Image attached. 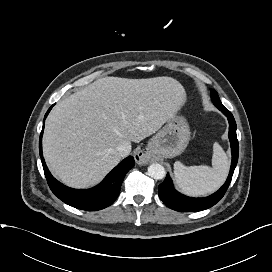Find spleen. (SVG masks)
Segmentation results:
<instances>
[{
    "label": "spleen",
    "instance_id": "obj_1",
    "mask_svg": "<svg viewBox=\"0 0 272 272\" xmlns=\"http://www.w3.org/2000/svg\"><path fill=\"white\" fill-rule=\"evenodd\" d=\"M229 160L222 147L213 145L212 167L190 166L174 163V176L179 188L191 196H204L217 190L225 181L229 171Z\"/></svg>",
    "mask_w": 272,
    "mask_h": 272
}]
</instances>
